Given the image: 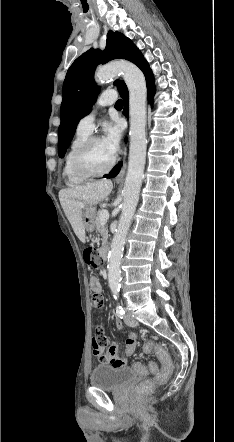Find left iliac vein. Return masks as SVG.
I'll use <instances>...</instances> for the list:
<instances>
[{
    "mask_svg": "<svg viewBox=\"0 0 234 442\" xmlns=\"http://www.w3.org/2000/svg\"><path fill=\"white\" fill-rule=\"evenodd\" d=\"M124 321H125V323H126L128 326H130V327H135V326L137 325V321H136V319L133 318L132 315L129 314V313H127V314L124 316Z\"/></svg>",
    "mask_w": 234,
    "mask_h": 442,
    "instance_id": "1",
    "label": "left iliac vein"
}]
</instances>
